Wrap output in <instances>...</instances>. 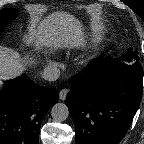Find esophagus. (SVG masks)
Masks as SVG:
<instances>
[{
  "mask_svg": "<svg viewBox=\"0 0 144 144\" xmlns=\"http://www.w3.org/2000/svg\"><path fill=\"white\" fill-rule=\"evenodd\" d=\"M68 89H62L59 93V98L64 101L67 97Z\"/></svg>",
  "mask_w": 144,
  "mask_h": 144,
  "instance_id": "obj_1",
  "label": "esophagus"
}]
</instances>
